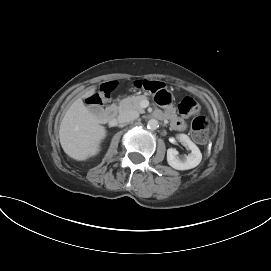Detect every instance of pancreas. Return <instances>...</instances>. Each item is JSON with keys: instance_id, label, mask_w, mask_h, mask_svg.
<instances>
[{"instance_id": "pancreas-1", "label": "pancreas", "mask_w": 271, "mask_h": 271, "mask_svg": "<svg viewBox=\"0 0 271 271\" xmlns=\"http://www.w3.org/2000/svg\"><path fill=\"white\" fill-rule=\"evenodd\" d=\"M146 98L147 97L145 95L127 97L119 102L116 109L118 112L133 110L138 113H144V109L141 107L140 103Z\"/></svg>"}]
</instances>
